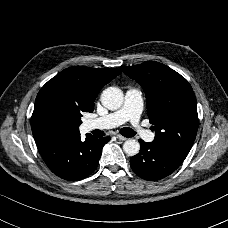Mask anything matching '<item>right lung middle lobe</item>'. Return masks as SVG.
<instances>
[{
    "mask_svg": "<svg viewBox=\"0 0 228 228\" xmlns=\"http://www.w3.org/2000/svg\"><path fill=\"white\" fill-rule=\"evenodd\" d=\"M82 111L62 89L43 86L39 91L31 117L35 140L47 141L79 132Z\"/></svg>",
    "mask_w": 228,
    "mask_h": 228,
    "instance_id": "1",
    "label": "right lung middle lobe"
}]
</instances>
